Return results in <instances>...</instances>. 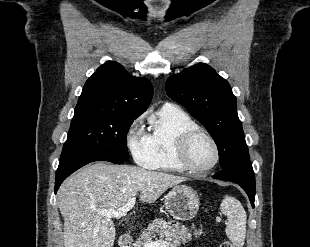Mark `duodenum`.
<instances>
[{"label": "duodenum", "instance_id": "duodenum-1", "mask_svg": "<svg viewBox=\"0 0 310 247\" xmlns=\"http://www.w3.org/2000/svg\"><path fill=\"white\" fill-rule=\"evenodd\" d=\"M132 237L130 234H122L119 237V247H131Z\"/></svg>", "mask_w": 310, "mask_h": 247}]
</instances>
